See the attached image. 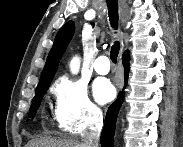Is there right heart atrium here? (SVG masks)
Instances as JSON below:
<instances>
[{
	"instance_id": "obj_1",
	"label": "right heart atrium",
	"mask_w": 183,
	"mask_h": 147,
	"mask_svg": "<svg viewBox=\"0 0 183 147\" xmlns=\"http://www.w3.org/2000/svg\"><path fill=\"white\" fill-rule=\"evenodd\" d=\"M54 119L69 133L80 134L101 120L100 109L91 101L86 86L79 80L60 78L53 86Z\"/></svg>"
}]
</instances>
